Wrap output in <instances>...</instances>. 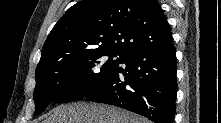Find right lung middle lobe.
Here are the masks:
<instances>
[{"label": "right lung middle lobe", "instance_id": "dd1d6c3e", "mask_svg": "<svg viewBox=\"0 0 221 123\" xmlns=\"http://www.w3.org/2000/svg\"><path fill=\"white\" fill-rule=\"evenodd\" d=\"M125 54L110 50H94L65 56L36 68L34 91L35 114L52 101L79 100L95 84L108 78ZM114 57H118L113 60Z\"/></svg>", "mask_w": 221, "mask_h": 123}]
</instances>
